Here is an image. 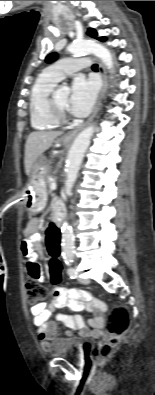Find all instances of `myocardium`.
I'll return each mask as SVG.
<instances>
[{"mask_svg": "<svg viewBox=\"0 0 155 395\" xmlns=\"http://www.w3.org/2000/svg\"><path fill=\"white\" fill-rule=\"evenodd\" d=\"M57 90L53 89L48 98V110L52 118L58 123H65L68 121L66 110L62 109L55 98Z\"/></svg>", "mask_w": 155, "mask_h": 395, "instance_id": "myocardium-1", "label": "myocardium"}]
</instances>
